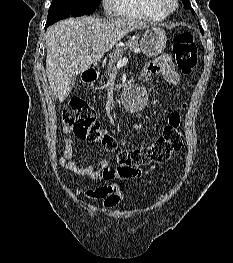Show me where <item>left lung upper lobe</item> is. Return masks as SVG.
Masks as SVG:
<instances>
[{
  "instance_id": "5c2ea615",
  "label": "left lung upper lobe",
  "mask_w": 233,
  "mask_h": 263,
  "mask_svg": "<svg viewBox=\"0 0 233 263\" xmlns=\"http://www.w3.org/2000/svg\"><path fill=\"white\" fill-rule=\"evenodd\" d=\"M183 3H184V6L186 8H188V9L191 8L189 0H183ZM192 13L195 14V12L193 10H192ZM199 28H200L201 33L204 34V31H203V29H202V27L200 25H199Z\"/></svg>"
}]
</instances>
